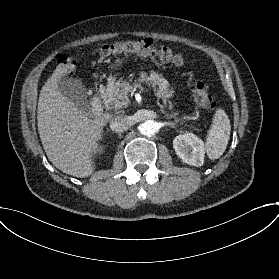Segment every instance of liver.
<instances>
[{
    "label": "liver",
    "instance_id": "liver-1",
    "mask_svg": "<svg viewBox=\"0 0 279 279\" xmlns=\"http://www.w3.org/2000/svg\"><path fill=\"white\" fill-rule=\"evenodd\" d=\"M67 72L68 65H57L40 91L38 132L49 161L63 173L84 178L93 173L91 158L111 116L104 114L89 119L63 96L58 83Z\"/></svg>",
    "mask_w": 279,
    "mask_h": 279
}]
</instances>
